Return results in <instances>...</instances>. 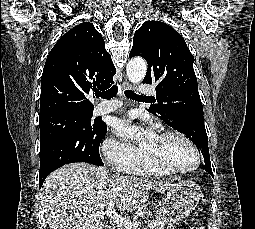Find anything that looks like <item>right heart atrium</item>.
I'll list each match as a JSON object with an SVG mask.
<instances>
[{"label":"right heart atrium","mask_w":255,"mask_h":229,"mask_svg":"<svg viewBox=\"0 0 255 229\" xmlns=\"http://www.w3.org/2000/svg\"><path fill=\"white\" fill-rule=\"evenodd\" d=\"M101 151L109 164L121 170L141 154L139 149L113 137L106 138L102 142Z\"/></svg>","instance_id":"1"}]
</instances>
